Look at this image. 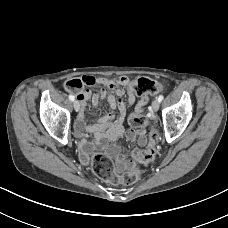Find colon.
I'll return each mask as SVG.
<instances>
[{
  "instance_id": "1",
  "label": "colon",
  "mask_w": 228,
  "mask_h": 228,
  "mask_svg": "<svg viewBox=\"0 0 228 228\" xmlns=\"http://www.w3.org/2000/svg\"><path fill=\"white\" fill-rule=\"evenodd\" d=\"M84 82L81 79H71L65 83V88L78 94L84 89ZM136 94L147 95L156 94L162 90V85L150 78L141 77L131 81ZM129 124L134 128L145 127L149 124L148 119L143 113H133L129 118ZM158 141V132L152 127L143 150H133L132 156L139 163L152 161L156 155V145ZM93 171L104 181L112 184L132 185L141 177V170L138 166L132 165L122 175L116 173L113 161L103 153H96L92 158Z\"/></svg>"
}]
</instances>
